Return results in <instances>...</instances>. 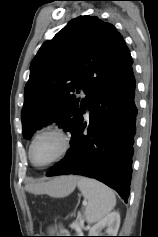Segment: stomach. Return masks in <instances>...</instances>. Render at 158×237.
<instances>
[{
	"instance_id": "stomach-1",
	"label": "stomach",
	"mask_w": 158,
	"mask_h": 237,
	"mask_svg": "<svg viewBox=\"0 0 158 237\" xmlns=\"http://www.w3.org/2000/svg\"><path fill=\"white\" fill-rule=\"evenodd\" d=\"M70 194V191L68 188L61 190L58 194L55 195V197H64Z\"/></svg>"
}]
</instances>
